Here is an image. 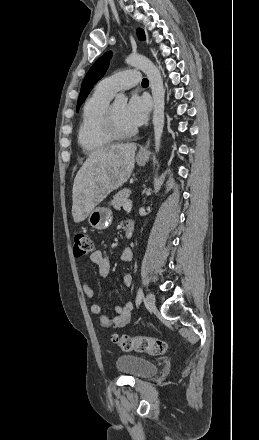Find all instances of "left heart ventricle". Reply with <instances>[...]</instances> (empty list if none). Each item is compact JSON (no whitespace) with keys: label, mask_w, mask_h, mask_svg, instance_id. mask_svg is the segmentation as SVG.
Returning <instances> with one entry per match:
<instances>
[{"label":"left heart ventricle","mask_w":259,"mask_h":440,"mask_svg":"<svg viewBox=\"0 0 259 440\" xmlns=\"http://www.w3.org/2000/svg\"><path fill=\"white\" fill-rule=\"evenodd\" d=\"M125 103H115L113 104V111L115 115L116 122L120 129L122 130H131L134 127L128 122L125 116Z\"/></svg>","instance_id":"obj_1"}]
</instances>
